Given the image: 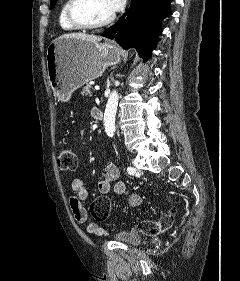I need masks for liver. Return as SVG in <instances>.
<instances>
[{
    "label": "liver",
    "instance_id": "1",
    "mask_svg": "<svg viewBox=\"0 0 240 281\" xmlns=\"http://www.w3.org/2000/svg\"><path fill=\"white\" fill-rule=\"evenodd\" d=\"M59 38H78L93 43H98L101 40V38L98 36L89 35L86 33H69V34L62 35Z\"/></svg>",
    "mask_w": 240,
    "mask_h": 281
}]
</instances>
